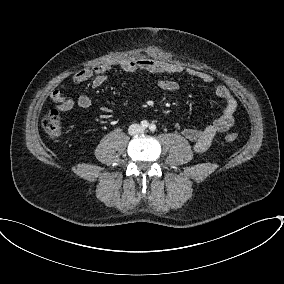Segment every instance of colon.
Returning a JSON list of instances; mask_svg holds the SVG:
<instances>
[{
	"mask_svg": "<svg viewBox=\"0 0 284 284\" xmlns=\"http://www.w3.org/2000/svg\"><path fill=\"white\" fill-rule=\"evenodd\" d=\"M42 127L45 132L52 136L58 137L62 133V117L60 113L56 110L49 111L42 120ZM226 141L229 143H233L237 139V135L235 133H229L225 137Z\"/></svg>",
	"mask_w": 284,
	"mask_h": 284,
	"instance_id": "colon-1",
	"label": "colon"
}]
</instances>
